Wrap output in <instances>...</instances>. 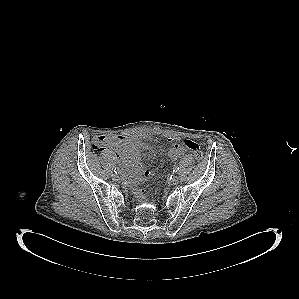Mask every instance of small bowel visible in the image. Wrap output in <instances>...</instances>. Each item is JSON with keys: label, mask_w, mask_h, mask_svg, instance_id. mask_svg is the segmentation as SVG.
I'll list each match as a JSON object with an SVG mask.
<instances>
[{"label": "small bowel", "mask_w": 299, "mask_h": 299, "mask_svg": "<svg viewBox=\"0 0 299 299\" xmlns=\"http://www.w3.org/2000/svg\"><path fill=\"white\" fill-rule=\"evenodd\" d=\"M106 146L115 149L116 157L124 165L126 176L132 182L141 183L154 175L152 171L144 168L141 162L140 150L147 145L139 138L125 135L109 137ZM186 149L182 144H174L169 148L167 156L170 160H176L186 153ZM162 168L165 166L162 165Z\"/></svg>", "instance_id": "c3829d8e"}]
</instances>
